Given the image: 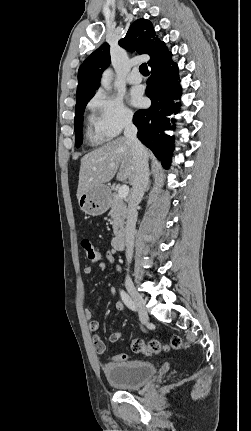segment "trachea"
I'll use <instances>...</instances> for the list:
<instances>
[{
  "instance_id": "3493384b",
  "label": "trachea",
  "mask_w": 251,
  "mask_h": 431,
  "mask_svg": "<svg viewBox=\"0 0 251 431\" xmlns=\"http://www.w3.org/2000/svg\"><path fill=\"white\" fill-rule=\"evenodd\" d=\"M139 71H140V73H141V74H143V75H147V74H149V70H148L147 64H146V63L141 64V65L139 66Z\"/></svg>"
}]
</instances>
